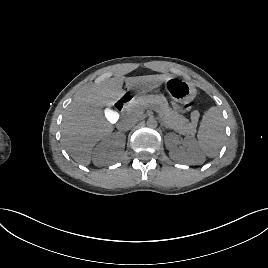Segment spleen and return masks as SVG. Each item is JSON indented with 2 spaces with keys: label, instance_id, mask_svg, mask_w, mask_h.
Segmentation results:
<instances>
[{
  "label": "spleen",
  "instance_id": "obj_1",
  "mask_svg": "<svg viewBox=\"0 0 268 268\" xmlns=\"http://www.w3.org/2000/svg\"><path fill=\"white\" fill-rule=\"evenodd\" d=\"M198 147L208 157H216L225 139V123L218 107H211L202 117L197 134Z\"/></svg>",
  "mask_w": 268,
  "mask_h": 268
}]
</instances>
